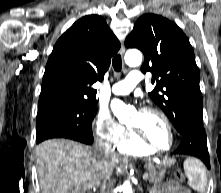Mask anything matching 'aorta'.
<instances>
[{
  "mask_svg": "<svg viewBox=\"0 0 221 193\" xmlns=\"http://www.w3.org/2000/svg\"><path fill=\"white\" fill-rule=\"evenodd\" d=\"M125 62L130 67L139 66L142 63V53L136 49L127 51L125 54ZM111 110L119 121H123L133 112L132 107L127 106L119 99H113L111 101ZM123 193H133L129 180L123 183Z\"/></svg>",
  "mask_w": 221,
  "mask_h": 193,
  "instance_id": "1",
  "label": "aorta"
}]
</instances>
